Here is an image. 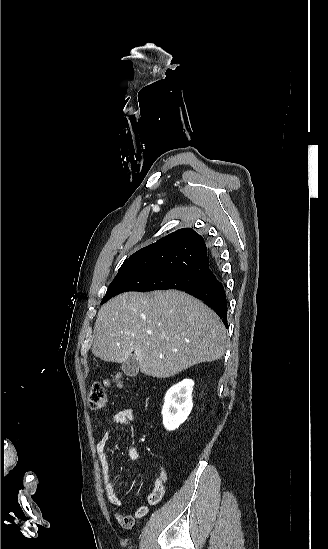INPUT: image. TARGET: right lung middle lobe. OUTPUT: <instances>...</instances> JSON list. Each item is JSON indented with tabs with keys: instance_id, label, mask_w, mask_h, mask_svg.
Instances as JSON below:
<instances>
[{
	"instance_id": "dd1d6c3e",
	"label": "right lung middle lobe",
	"mask_w": 328,
	"mask_h": 549,
	"mask_svg": "<svg viewBox=\"0 0 328 549\" xmlns=\"http://www.w3.org/2000/svg\"><path fill=\"white\" fill-rule=\"evenodd\" d=\"M208 282L207 278L178 269L133 268L119 271L102 303L125 291L184 290Z\"/></svg>"
}]
</instances>
